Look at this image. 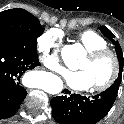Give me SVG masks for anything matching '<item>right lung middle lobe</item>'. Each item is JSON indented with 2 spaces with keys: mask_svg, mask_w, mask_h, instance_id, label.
<instances>
[{
  "mask_svg": "<svg viewBox=\"0 0 124 124\" xmlns=\"http://www.w3.org/2000/svg\"><path fill=\"white\" fill-rule=\"evenodd\" d=\"M43 31L39 20L24 9L0 12V38L25 40L29 46L37 48V38Z\"/></svg>",
  "mask_w": 124,
  "mask_h": 124,
  "instance_id": "1",
  "label": "right lung middle lobe"
}]
</instances>
